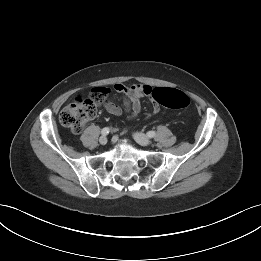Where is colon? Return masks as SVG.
I'll list each match as a JSON object with an SVG mask.
<instances>
[{"label":"colon","mask_w":261,"mask_h":261,"mask_svg":"<svg viewBox=\"0 0 261 261\" xmlns=\"http://www.w3.org/2000/svg\"><path fill=\"white\" fill-rule=\"evenodd\" d=\"M108 93L106 88H94L87 97H79L61 111L60 124L74 133L81 132L95 117L98 106L106 101ZM151 96L157 104L170 109H184L190 104V98L184 92L173 88L153 89Z\"/></svg>","instance_id":"obj_1"}]
</instances>
